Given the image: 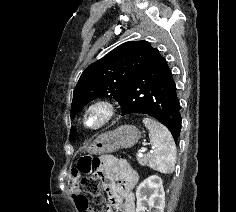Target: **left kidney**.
<instances>
[{"label": "left kidney", "mask_w": 236, "mask_h": 212, "mask_svg": "<svg viewBox=\"0 0 236 212\" xmlns=\"http://www.w3.org/2000/svg\"><path fill=\"white\" fill-rule=\"evenodd\" d=\"M136 197V212H145L148 208L149 210L153 209V212H163L165 207V192L162 179L157 175H152L145 179L137 187Z\"/></svg>", "instance_id": "5707ae66"}]
</instances>
